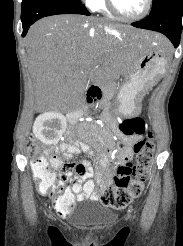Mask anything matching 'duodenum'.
Instances as JSON below:
<instances>
[{
    "label": "duodenum",
    "mask_w": 183,
    "mask_h": 246,
    "mask_svg": "<svg viewBox=\"0 0 183 246\" xmlns=\"http://www.w3.org/2000/svg\"><path fill=\"white\" fill-rule=\"evenodd\" d=\"M103 100V91L100 86L92 85L88 88L86 96L84 98V104L80 107L76 108L75 111H72L68 114L69 121L74 123L78 116H83V109H88L89 107H95L101 104Z\"/></svg>",
    "instance_id": "410a0bca"
}]
</instances>
